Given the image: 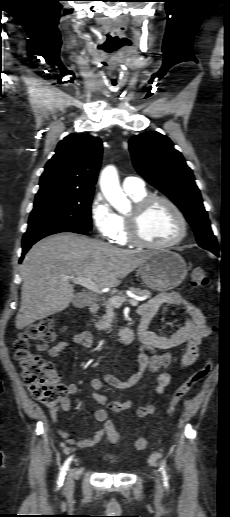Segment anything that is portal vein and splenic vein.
<instances>
[{
	"label": "portal vein and splenic vein",
	"mask_w": 230,
	"mask_h": 517,
	"mask_svg": "<svg viewBox=\"0 0 230 517\" xmlns=\"http://www.w3.org/2000/svg\"><path fill=\"white\" fill-rule=\"evenodd\" d=\"M70 281H72L75 284L82 285L83 287L91 290L94 293L101 294V288L99 285H97L94 281H92L90 278H82V277H70L68 278ZM109 301L116 307H119L122 305L123 302L128 301L131 305H138V299H129L126 298H119V297H112L109 299Z\"/></svg>",
	"instance_id": "obj_1"
}]
</instances>
